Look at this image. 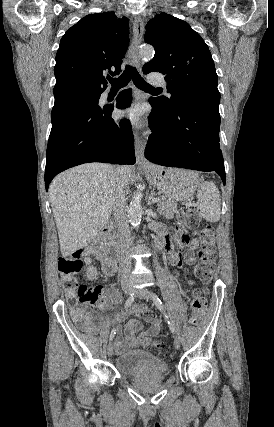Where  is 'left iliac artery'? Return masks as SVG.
Instances as JSON below:
<instances>
[{
  "label": "left iliac artery",
  "mask_w": 274,
  "mask_h": 427,
  "mask_svg": "<svg viewBox=\"0 0 274 427\" xmlns=\"http://www.w3.org/2000/svg\"><path fill=\"white\" fill-rule=\"evenodd\" d=\"M151 297L155 303V305L158 307V309L163 313L164 317L167 319V323L169 325V328L171 330L172 333H175V326L174 324L169 320V316L166 314L164 306L162 304V301L160 300V298L153 292L150 293Z\"/></svg>",
  "instance_id": "obj_1"
}]
</instances>
